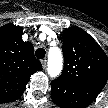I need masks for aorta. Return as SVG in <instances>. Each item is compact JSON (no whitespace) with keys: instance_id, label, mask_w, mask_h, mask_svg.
Here are the masks:
<instances>
[{"instance_id":"762f6f07","label":"aorta","mask_w":108,"mask_h":108,"mask_svg":"<svg viewBox=\"0 0 108 108\" xmlns=\"http://www.w3.org/2000/svg\"><path fill=\"white\" fill-rule=\"evenodd\" d=\"M63 68V57L59 48L51 47L48 51L47 72L50 77L55 78L60 75Z\"/></svg>"}]
</instances>
